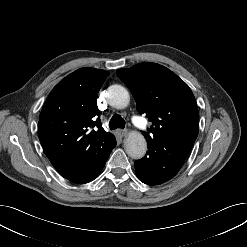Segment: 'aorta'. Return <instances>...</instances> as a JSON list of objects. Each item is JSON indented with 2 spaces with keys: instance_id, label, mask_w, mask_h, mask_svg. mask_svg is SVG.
I'll list each match as a JSON object with an SVG mask.
<instances>
[{
  "instance_id": "762f6f07",
  "label": "aorta",
  "mask_w": 247,
  "mask_h": 247,
  "mask_svg": "<svg viewBox=\"0 0 247 247\" xmlns=\"http://www.w3.org/2000/svg\"><path fill=\"white\" fill-rule=\"evenodd\" d=\"M107 99L116 109H124L129 105L128 90L121 85H112L108 88ZM124 148L128 156L133 159L144 157L147 151V142L139 132H130L124 140Z\"/></svg>"
}]
</instances>
